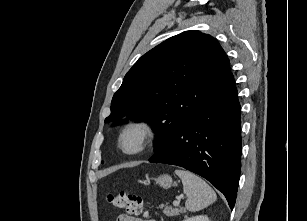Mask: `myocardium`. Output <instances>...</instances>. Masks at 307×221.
<instances>
[{
	"label": "myocardium",
	"mask_w": 307,
	"mask_h": 221,
	"mask_svg": "<svg viewBox=\"0 0 307 221\" xmlns=\"http://www.w3.org/2000/svg\"><path fill=\"white\" fill-rule=\"evenodd\" d=\"M136 131L139 134V143L138 145L132 149L127 150L123 145V140L125 136L131 132ZM156 131L154 125L146 119H137L127 123L121 130L117 140V146L119 150L128 156L137 155L150 145L155 137Z\"/></svg>",
	"instance_id": "myocardium-1"
}]
</instances>
